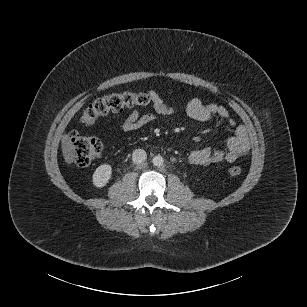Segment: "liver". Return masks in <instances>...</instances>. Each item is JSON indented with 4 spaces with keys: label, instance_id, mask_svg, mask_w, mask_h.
I'll use <instances>...</instances> for the list:
<instances>
[{
    "label": "liver",
    "instance_id": "6515ba94",
    "mask_svg": "<svg viewBox=\"0 0 307 307\" xmlns=\"http://www.w3.org/2000/svg\"><path fill=\"white\" fill-rule=\"evenodd\" d=\"M62 154L66 164L72 165L76 160V146L67 133L61 137Z\"/></svg>",
    "mask_w": 307,
    "mask_h": 307
}]
</instances>
